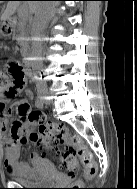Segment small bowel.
<instances>
[{
  "mask_svg": "<svg viewBox=\"0 0 137 189\" xmlns=\"http://www.w3.org/2000/svg\"><path fill=\"white\" fill-rule=\"evenodd\" d=\"M4 105L5 99L0 98V141L3 143L4 146V167L9 174L18 171L21 175H25L29 171V165L25 162L18 161L19 148L20 145L24 142V140L13 138L11 131L9 130V117L3 115ZM23 106L29 105L26 101H22L16 104L13 109H10L9 113L16 111V120H21L25 129H29L31 123L25 118L24 114L20 112V108ZM30 158L31 160L35 161L38 159V155L36 153H31Z\"/></svg>",
  "mask_w": 137,
  "mask_h": 189,
  "instance_id": "small-bowel-1",
  "label": "small bowel"
}]
</instances>
